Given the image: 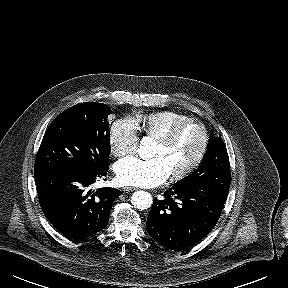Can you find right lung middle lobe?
Segmentation results:
<instances>
[{
	"instance_id": "1",
	"label": "right lung middle lobe",
	"mask_w": 288,
	"mask_h": 288,
	"mask_svg": "<svg viewBox=\"0 0 288 288\" xmlns=\"http://www.w3.org/2000/svg\"><path fill=\"white\" fill-rule=\"evenodd\" d=\"M111 113L107 105L94 102L77 104L63 111L43 137L35 173L60 170L94 175L106 169Z\"/></svg>"
}]
</instances>
